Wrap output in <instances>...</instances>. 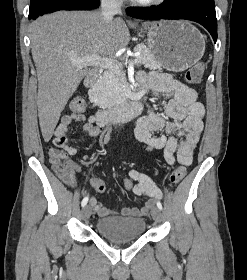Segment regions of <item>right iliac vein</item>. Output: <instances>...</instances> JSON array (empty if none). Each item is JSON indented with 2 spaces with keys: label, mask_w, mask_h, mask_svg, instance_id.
<instances>
[{
  "label": "right iliac vein",
  "mask_w": 247,
  "mask_h": 280,
  "mask_svg": "<svg viewBox=\"0 0 247 280\" xmlns=\"http://www.w3.org/2000/svg\"><path fill=\"white\" fill-rule=\"evenodd\" d=\"M91 215V208L89 205L85 206L83 209H82V217L84 220H87Z\"/></svg>",
  "instance_id": "right-iliac-vein-1"
}]
</instances>
